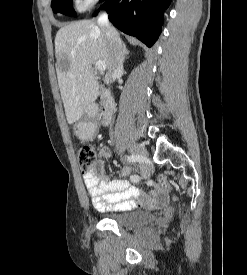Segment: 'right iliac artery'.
Masks as SVG:
<instances>
[{"label": "right iliac artery", "instance_id": "1", "mask_svg": "<svg viewBox=\"0 0 247 275\" xmlns=\"http://www.w3.org/2000/svg\"><path fill=\"white\" fill-rule=\"evenodd\" d=\"M140 157L142 158V160H143L146 164H149V163H150V160H149L147 157H145L143 154H142L141 156L132 154V155H130V156L127 157V161L132 162V163L139 162V161L141 160ZM149 168H150V169H153V168H154V165H153V164H150V165H149ZM139 179H140V177H139L138 175H132V176L130 177V180H131V182H133V183H137V182L139 181Z\"/></svg>", "mask_w": 247, "mask_h": 275}]
</instances>
